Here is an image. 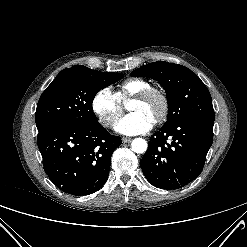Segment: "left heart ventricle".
Instances as JSON below:
<instances>
[{
	"instance_id": "1",
	"label": "left heart ventricle",
	"mask_w": 247,
	"mask_h": 247,
	"mask_svg": "<svg viewBox=\"0 0 247 247\" xmlns=\"http://www.w3.org/2000/svg\"><path fill=\"white\" fill-rule=\"evenodd\" d=\"M162 108L161 100L158 97H153L146 102L132 101L129 104L131 112H141L146 116L152 118L154 121L159 115Z\"/></svg>"
}]
</instances>
